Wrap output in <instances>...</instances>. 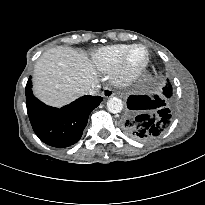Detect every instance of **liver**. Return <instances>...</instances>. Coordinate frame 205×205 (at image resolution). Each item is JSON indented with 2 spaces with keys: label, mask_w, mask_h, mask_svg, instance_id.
I'll list each match as a JSON object with an SVG mask.
<instances>
[{
  "label": "liver",
  "mask_w": 205,
  "mask_h": 205,
  "mask_svg": "<svg viewBox=\"0 0 205 205\" xmlns=\"http://www.w3.org/2000/svg\"><path fill=\"white\" fill-rule=\"evenodd\" d=\"M96 82L95 67L82 50L57 46L44 52L34 66V94L51 106L74 101Z\"/></svg>",
  "instance_id": "obj_1"
}]
</instances>
